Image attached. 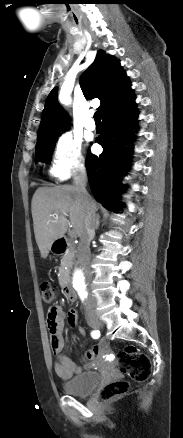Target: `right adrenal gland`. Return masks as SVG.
Listing matches in <instances>:
<instances>
[{"mask_svg": "<svg viewBox=\"0 0 183 438\" xmlns=\"http://www.w3.org/2000/svg\"><path fill=\"white\" fill-rule=\"evenodd\" d=\"M95 222H96L95 229L97 230L99 228V224H100V216H99V214H96Z\"/></svg>", "mask_w": 183, "mask_h": 438, "instance_id": "obj_1", "label": "right adrenal gland"}]
</instances>
